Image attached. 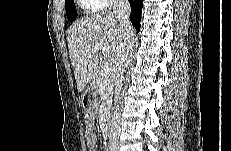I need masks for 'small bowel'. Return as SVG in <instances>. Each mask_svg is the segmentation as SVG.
Wrapping results in <instances>:
<instances>
[{
	"label": "small bowel",
	"mask_w": 231,
	"mask_h": 151,
	"mask_svg": "<svg viewBox=\"0 0 231 151\" xmlns=\"http://www.w3.org/2000/svg\"><path fill=\"white\" fill-rule=\"evenodd\" d=\"M94 117V115H90L85 121L86 144L90 150H93L97 144V133L94 127Z\"/></svg>",
	"instance_id": "obj_1"
}]
</instances>
